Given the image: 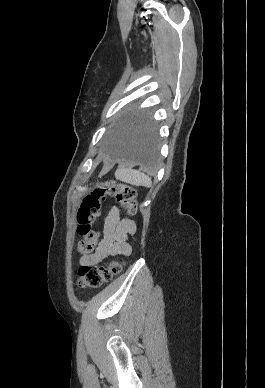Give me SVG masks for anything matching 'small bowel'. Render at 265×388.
I'll return each instance as SVG.
<instances>
[{"label": "small bowel", "mask_w": 265, "mask_h": 388, "mask_svg": "<svg viewBox=\"0 0 265 388\" xmlns=\"http://www.w3.org/2000/svg\"><path fill=\"white\" fill-rule=\"evenodd\" d=\"M135 231V223L130 219H120L118 208L112 207L104 221L102 239L92 253L80 257V265L94 266L109 257L130 255L131 246L127 237Z\"/></svg>", "instance_id": "small-bowel-1"}]
</instances>
